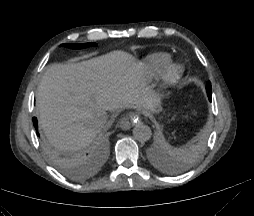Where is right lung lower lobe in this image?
<instances>
[{
	"instance_id": "1",
	"label": "right lung lower lobe",
	"mask_w": 254,
	"mask_h": 216,
	"mask_svg": "<svg viewBox=\"0 0 254 216\" xmlns=\"http://www.w3.org/2000/svg\"><path fill=\"white\" fill-rule=\"evenodd\" d=\"M33 123H34V126H35V128H36V130H37V128H38V125H37V119L34 117L33 118ZM38 134V133H37ZM39 135V134H38Z\"/></svg>"
}]
</instances>
